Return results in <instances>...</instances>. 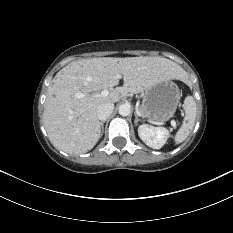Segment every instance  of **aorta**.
I'll return each instance as SVG.
<instances>
[{"instance_id":"obj_1","label":"aorta","mask_w":233,"mask_h":233,"mask_svg":"<svg viewBox=\"0 0 233 233\" xmlns=\"http://www.w3.org/2000/svg\"><path fill=\"white\" fill-rule=\"evenodd\" d=\"M131 107L129 104H121L118 108V112L121 116H128L130 114Z\"/></svg>"}]
</instances>
